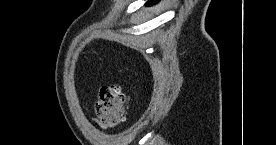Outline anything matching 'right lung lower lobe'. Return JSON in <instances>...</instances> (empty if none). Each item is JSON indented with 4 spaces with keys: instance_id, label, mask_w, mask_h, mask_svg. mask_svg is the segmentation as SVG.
<instances>
[{
    "instance_id": "right-lung-lower-lobe-1",
    "label": "right lung lower lobe",
    "mask_w": 276,
    "mask_h": 145,
    "mask_svg": "<svg viewBox=\"0 0 276 145\" xmlns=\"http://www.w3.org/2000/svg\"><path fill=\"white\" fill-rule=\"evenodd\" d=\"M157 2H158V0H149V1L147 2V4H148V5H153V4L157 3Z\"/></svg>"
}]
</instances>
